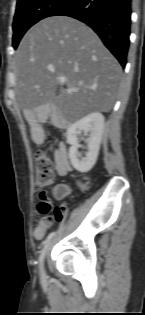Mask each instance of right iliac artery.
Masks as SVG:
<instances>
[{
    "instance_id": "right-iliac-artery-1",
    "label": "right iliac artery",
    "mask_w": 145,
    "mask_h": 315,
    "mask_svg": "<svg viewBox=\"0 0 145 315\" xmlns=\"http://www.w3.org/2000/svg\"><path fill=\"white\" fill-rule=\"evenodd\" d=\"M54 235H55V232H51V233L47 236V238L43 241L42 244L45 245L46 243H48V241H49L51 238H53Z\"/></svg>"
}]
</instances>
